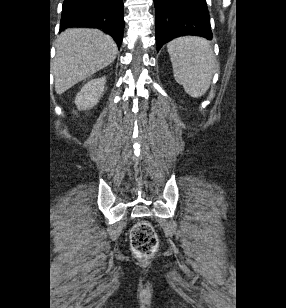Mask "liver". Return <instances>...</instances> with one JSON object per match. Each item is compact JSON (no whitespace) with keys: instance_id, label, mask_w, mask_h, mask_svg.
I'll list each match as a JSON object with an SVG mask.
<instances>
[{"instance_id":"6515ba94","label":"liver","mask_w":286,"mask_h":308,"mask_svg":"<svg viewBox=\"0 0 286 308\" xmlns=\"http://www.w3.org/2000/svg\"><path fill=\"white\" fill-rule=\"evenodd\" d=\"M53 62L55 91L62 94L111 64L118 49L114 40L96 29H67L56 43Z\"/></svg>"}]
</instances>
